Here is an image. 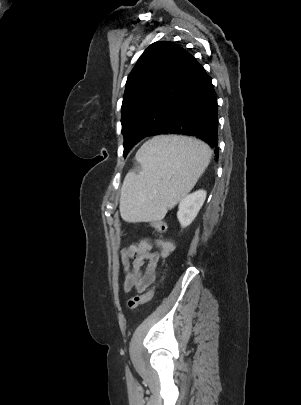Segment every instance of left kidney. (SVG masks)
<instances>
[{"label": "left kidney", "instance_id": "5707ae66", "mask_svg": "<svg viewBox=\"0 0 301 405\" xmlns=\"http://www.w3.org/2000/svg\"><path fill=\"white\" fill-rule=\"evenodd\" d=\"M206 199V191L198 190L185 196L179 206L177 218L182 228L189 226L196 218Z\"/></svg>", "mask_w": 301, "mask_h": 405}]
</instances>
